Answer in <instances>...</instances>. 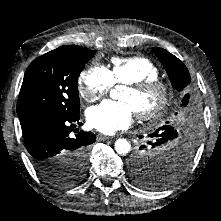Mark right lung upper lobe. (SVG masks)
<instances>
[{"instance_id": "1", "label": "right lung upper lobe", "mask_w": 221, "mask_h": 221, "mask_svg": "<svg viewBox=\"0 0 221 221\" xmlns=\"http://www.w3.org/2000/svg\"><path fill=\"white\" fill-rule=\"evenodd\" d=\"M62 49H76L79 48L78 46H74V45H66V46H62L60 47Z\"/></svg>"}]
</instances>
